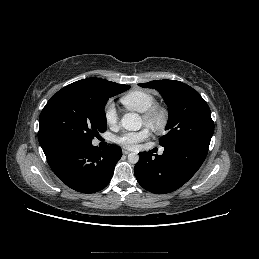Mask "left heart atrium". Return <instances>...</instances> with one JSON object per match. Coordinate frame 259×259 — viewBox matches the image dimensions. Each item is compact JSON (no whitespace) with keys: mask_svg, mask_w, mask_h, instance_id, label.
Instances as JSON below:
<instances>
[{"mask_svg":"<svg viewBox=\"0 0 259 259\" xmlns=\"http://www.w3.org/2000/svg\"><path fill=\"white\" fill-rule=\"evenodd\" d=\"M149 135L150 131L148 128H143L138 131H125L116 136L115 141L126 149H135L138 143L146 140Z\"/></svg>","mask_w":259,"mask_h":259,"instance_id":"left-heart-atrium-1","label":"left heart atrium"}]
</instances>
